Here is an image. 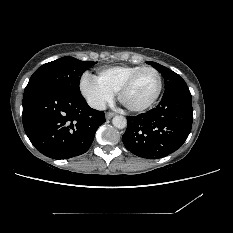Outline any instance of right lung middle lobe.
Segmentation results:
<instances>
[{"instance_id":"dd1d6c3e","label":"right lung middle lobe","mask_w":233,"mask_h":233,"mask_svg":"<svg viewBox=\"0 0 233 233\" xmlns=\"http://www.w3.org/2000/svg\"><path fill=\"white\" fill-rule=\"evenodd\" d=\"M96 63L81 61L70 56L46 63L31 76L24 95L48 88L80 93L79 83L82 74Z\"/></svg>"}]
</instances>
